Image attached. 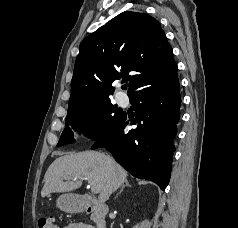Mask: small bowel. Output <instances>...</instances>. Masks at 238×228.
I'll use <instances>...</instances> for the list:
<instances>
[{"label":"small bowel","mask_w":238,"mask_h":228,"mask_svg":"<svg viewBox=\"0 0 238 228\" xmlns=\"http://www.w3.org/2000/svg\"><path fill=\"white\" fill-rule=\"evenodd\" d=\"M64 228H92V227L82 222H71L67 224Z\"/></svg>","instance_id":"1"}]
</instances>
